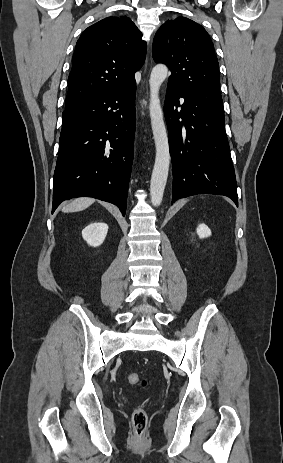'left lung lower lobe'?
Listing matches in <instances>:
<instances>
[{
    "instance_id": "left-lung-lower-lobe-1",
    "label": "left lung lower lobe",
    "mask_w": 283,
    "mask_h": 463,
    "mask_svg": "<svg viewBox=\"0 0 283 463\" xmlns=\"http://www.w3.org/2000/svg\"><path fill=\"white\" fill-rule=\"evenodd\" d=\"M179 98H184L182 105ZM164 113L173 165L172 203L206 193L227 196L238 205L224 116L202 108L169 83Z\"/></svg>"
}]
</instances>
